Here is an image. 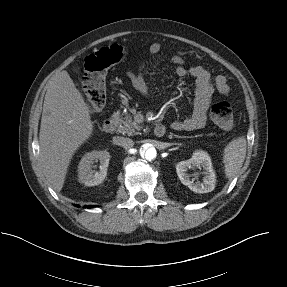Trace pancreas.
<instances>
[{
	"label": "pancreas",
	"instance_id": "1",
	"mask_svg": "<svg viewBox=\"0 0 287 287\" xmlns=\"http://www.w3.org/2000/svg\"><path fill=\"white\" fill-rule=\"evenodd\" d=\"M113 118L118 123V132L122 134H127L128 136H132L138 134L137 131L141 130V126H139L135 121L132 120V115L125 114L124 117L119 115L118 113L113 115Z\"/></svg>",
	"mask_w": 287,
	"mask_h": 287
}]
</instances>
